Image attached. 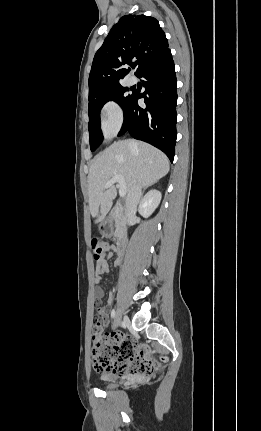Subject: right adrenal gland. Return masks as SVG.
<instances>
[{"mask_svg":"<svg viewBox=\"0 0 261 431\" xmlns=\"http://www.w3.org/2000/svg\"><path fill=\"white\" fill-rule=\"evenodd\" d=\"M149 186H151V185H149ZM147 188H148V186H146V187L144 188V191H145Z\"/></svg>","mask_w":261,"mask_h":431,"instance_id":"obj_1","label":"right adrenal gland"}]
</instances>
